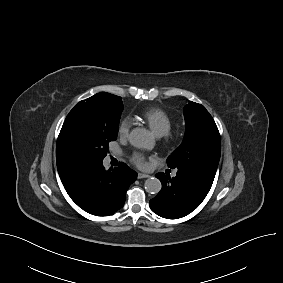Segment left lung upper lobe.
Returning a JSON list of instances; mask_svg holds the SVG:
<instances>
[{
  "label": "left lung upper lobe",
  "instance_id": "left-lung-upper-lobe-1",
  "mask_svg": "<svg viewBox=\"0 0 283 283\" xmlns=\"http://www.w3.org/2000/svg\"><path fill=\"white\" fill-rule=\"evenodd\" d=\"M184 117V140L168 157L167 164L212 185L221 154L218 128L206 108L192 101L184 107Z\"/></svg>",
  "mask_w": 283,
  "mask_h": 283
}]
</instances>
